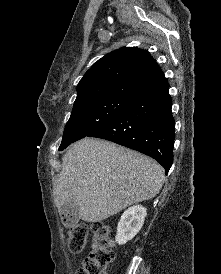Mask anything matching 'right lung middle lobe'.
Returning a JSON list of instances; mask_svg holds the SVG:
<instances>
[{
  "mask_svg": "<svg viewBox=\"0 0 221 274\" xmlns=\"http://www.w3.org/2000/svg\"><path fill=\"white\" fill-rule=\"evenodd\" d=\"M132 99L124 97H92L74 102L59 150L89 136L122 111Z\"/></svg>",
  "mask_w": 221,
  "mask_h": 274,
  "instance_id": "1",
  "label": "right lung middle lobe"
}]
</instances>
